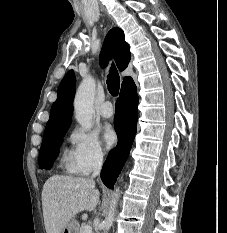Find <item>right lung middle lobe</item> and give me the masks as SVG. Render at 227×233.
<instances>
[{"mask_svg": "<svg viewBox=\"0 0 227 233\" xmlns=\"http://www.w3.org/2000/svg\"><path fill=\"white\" fill-rule=\"evenodd\" d=\"M65 133L66 131L52 138L43 139L39 154V167L41 169H50L52 167V164L59 153V146Z\"/></svg>", "mask_w": 227, "mask_h": 233, "instance_id": "right-lung-middle-lobe-1", "label": "right lung middle lobe"}]
</instances>
